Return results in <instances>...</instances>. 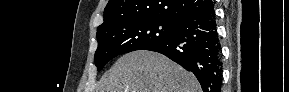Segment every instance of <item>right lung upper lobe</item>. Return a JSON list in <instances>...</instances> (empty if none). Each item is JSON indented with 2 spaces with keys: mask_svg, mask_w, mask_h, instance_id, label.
<instances>
[{
  "mask_svg": "<svg viewBox=\"0 0 289 92\" xmlns=\"http://www.w3.org/2000/svg\"><path fill=\"white\" fill-rule=\"evenodd\" d=\"M213 7L211 0H109L104 10V22L97 31L121 21L139 18L155 17L179 22Z\"/></svg>",
  "mask_w": 289,
  "mask_h": 92,
  "instance_id": "obj_1",
  "label": "right lung upper lobe"
}]
</instances>
